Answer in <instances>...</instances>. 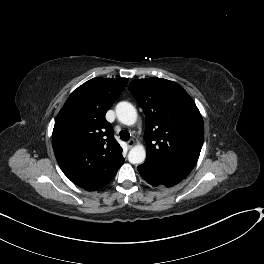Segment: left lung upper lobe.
Returning a JSON list of instances; mask_svg holds the SVG:
<instances>
[{
  "instance_id": "obj_1",
  "label": "left lung upper lobe",
  "mask_w": 264,
  "mask_h": 264,
  "mask_svg": "<svg viewBox=\"0 0 264 264\" xmlns=\"http://www.w3.org/2000/svg\"><path fill=\"white\" fill-rule=\"evenodd\" d=\"M128 89L146 116L144 164L165 174L187 177L204 139L203 119L193 99L176 82L157 77L133 80Z\"/></svg>"
}]
</instances>
